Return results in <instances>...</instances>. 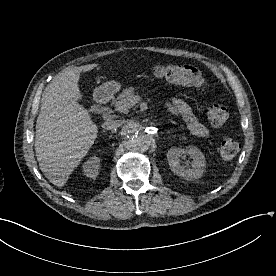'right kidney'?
I'll return each instance as SVG.
<instances>
[{"label": "right kidney", "instance_id": "1", "mask_svg": "<svg viewBox=\"0 0 276 276\" xmlns=\"http://www.w3.org/2000/svg\"><path fill=\"white\" fill-rule=\"evenodd\" d=\"M99 167L100 160L98 157L94 156L83 164L82 170L86 177L96 178V176L98 175Z\"/></svg>", "mask_w": 276, "mask_h": 276}]
</instances>
